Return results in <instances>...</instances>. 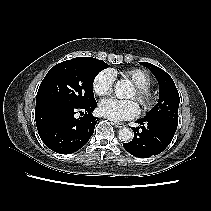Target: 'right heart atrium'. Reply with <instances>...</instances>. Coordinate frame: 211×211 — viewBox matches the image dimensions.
<instances>
[{
  "label": "right heart atrium",
  "instance_id": "right-heart-atrium-1",
  "mask_svg": "<svg viewBox=\"0 0 211 211\" xmlns=\"http://www.w3.org/2000/svg\"><path fill=\"white\" fill-rule=\"evenodd\" d=\"M114 81L115 76L111 70H102L93 80L94 93L100 97L109 95L112 92Z\"/></svg>",
  "mask_w": 211,
  "mask_h": 211
}]
</instances>
